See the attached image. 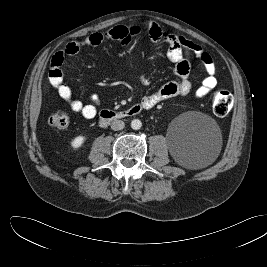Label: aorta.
Masks as SVG:
<instances>
[{"label":"aorta","instance_id":"1","mask_svg":"<svg viewBox=\"0 0 267 267\" xmlns=\"http://www.w3.org/2000/svg\"><path fill=\"white\" fill-rule=\"evenodd\" d=\"M142 127V122L139 119H134L131 121V128L134 130H139Z\"/></svg>","mask_w":267,"mask_h":267}]
</instances>
